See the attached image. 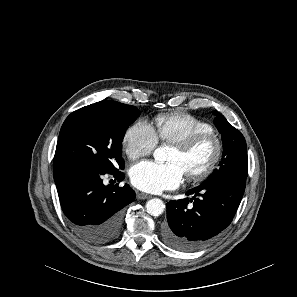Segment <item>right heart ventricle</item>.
<instances>
[{
  "instance_id": "right-heart-ventricle-1",
  "label": "right heart ventricle",
  "mask_w": 297,
  "mask_h": 297,
  "mask_svg": "<svg viewBox=\"0 0 297 297\" xmlns=\"http://www.w3.org/2000/svg\"><path fill=\"white\" fill-rule=\"evenodd\" d=\"M154 130L158 141L173 144L196 133L213 131V127L193 115L175 112L157 115Z\"/></svg>"
}]
</instances>
